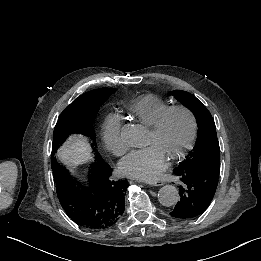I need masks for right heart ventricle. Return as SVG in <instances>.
<instances>
[{
    "instance_id": "e07e8e85",
    "label": "right heart ventricle",
    "mask_w": 261,
    "mask_h": 261,
    "mask_svg": "<svg viewBox=\"0 0 261 261\" xmlns=\"http://www.w3.org/2000/svg\"><path fill=\"white\" fill-rule=\"evenodd\" d=\"M169 106L166 99L155 94H141L122 101L123 110L145 125L153 122L158 114Z\"/></svg>"
}]
</instances>
